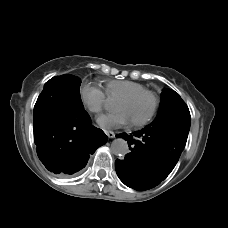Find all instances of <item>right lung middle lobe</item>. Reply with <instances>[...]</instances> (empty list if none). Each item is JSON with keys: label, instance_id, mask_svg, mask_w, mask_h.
I'll return each mask as SVG.
<instances>
[{"label": "right lung middle lobe", "instance_id": "right-lung-middle-lobe-1", "mask_svg": "<svg viewBox=\"0 0 228 228\" xmlns=\"http://www.w3.org/2000/svg\"><path fill=\"white\" fill-rule=\"evenodd\" d=\"M80 85L81 80L72 75L53 77L45 83L36 104L48 96H55V99L61 104L82 107Z\"/></svg>", "mask_w": 228, "mask_h": 228}]
</instances>
